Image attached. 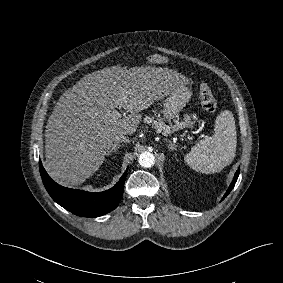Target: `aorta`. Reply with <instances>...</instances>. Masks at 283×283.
Listing matches in <instances>:
<instances>
[{
    "instance_id": "obj_1",
    "label": "aorta",
    "mask_w": 283,
    "mask_h": 283,
    "mask_svg": "<svg viewBox=\"0 0 283 283\" xmlns=\"http://www.w3.org/2000/svg\"><path fill=\"white\" fill-rule=\"evenodd\" d=\"M138 162L142 167L150 168L154 165L155 157L150 152H142L138 158Z\"/></svg>"
}]
</instances>
